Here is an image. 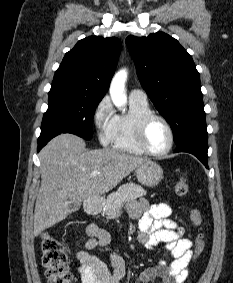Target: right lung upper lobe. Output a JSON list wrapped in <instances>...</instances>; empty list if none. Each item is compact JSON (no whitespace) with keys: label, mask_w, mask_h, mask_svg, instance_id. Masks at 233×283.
<instances>
[{"label":"right lung upper lobe","mask_w":233,"mask_h":283,"mask_svg":"<svg viewBox=\"0 0 233 283\" xmlns=\"http://www.w3.org/2000/svg\"><path fill=\"white\" fill-rule=\"evenodd\" d=\"M121 51L117 37L84 38L67 52L51 88H64L102 99L108 90Z\"/></svg>","instance_id":"obj_1"}]
</instances>
